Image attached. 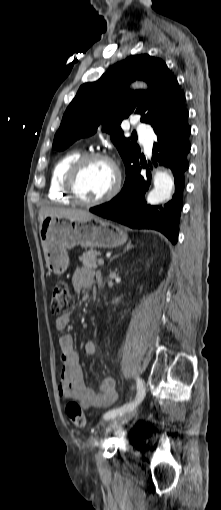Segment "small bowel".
<instances>
[{
    "label": "small bowel",
    "instance_id": "obj_1",
    "mask_svg": "<svg viewBox=\"0 0 221 510\" xmlns=\"http://www.w3.org/2000/svg\"><path fill=\"white\" fill-rule=\"evenodd\" d=\"M96 275L91 268L79 267L72 275V285L75 291L94 285ZM72 323V314L65 313L58 317L55 326L58 330L67 329ZM61 349V375L58 395L62 400L79 402L85 409H103L112 405L117 399L115 382L110 377H104L97 389L88 386L78 354L74 349V339L71 335H63L59 340ZM86 355H93L96 351L94 342L89 341L84 346Z\"/></svg>",
    "mask_w": 221,
    "mask_h": 510
}]
</instances>
